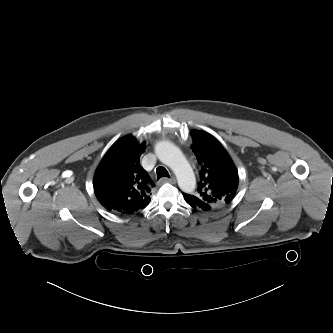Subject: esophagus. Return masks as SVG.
Listing matches in <instances>:
<instances>
[{
	"instance_id": "34e87169",
	"label": "esophagus",
	"mask_w": 333,
	"mask_h": 333,
	"mask_svg": "<svg viewBox=\"0 0 333 333\" xmlns=\"http://www.w3.org/2000/svg\"><path fill=\"white\" fill-rule=\"evenodd\" d=\"M159 183H161V184L162 183H172V184H174V183H176V179L174 177H172V178L163 177V178L160 179Z\"/></svg>"
}]
</instances>
